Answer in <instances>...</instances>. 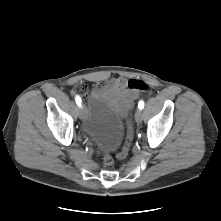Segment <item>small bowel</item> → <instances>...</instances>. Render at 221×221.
Returning a JSON list of instances; mask_svg holds the SVG:
<instances>
[{"instance_id":"small-bowel-1","label":"small bowel","mask_w":221,"mask_h":221,"mask_svg":"<svg viewBox=\"0 0 221 221\" xmlns=\"http://www.w3.org/2000/svg\"><path fill=\"white\" fill-rule=\"evenodd\" d=\"M98 91H106L112 96L120 111L125 116L131 104L137 98L136 92L128 88V82L123 77L112 78L100 83Z\"/></svg>"}]
</instances>
